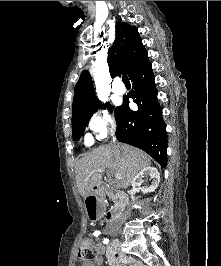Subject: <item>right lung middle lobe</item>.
<instances>
[{"instance_id":"right-lung-middle-lobe-1","label":"right lung middle lobe","mask_w":221,"mask_h":266,"mask_svg":"<svg viewBox=\"0 0 221 266\" xmlns=\"http://www.w3.org/2000/svg\"><path fill=\"white\" fill-rule=\"evenodd\" d=\"M100 104L101 102L98 101V103L95 105V107L91 111L84 113V114L77 115L72 118V134H73L74 140H79L81 138L85 128L88 125V122L91 116L100 107ZM106 107L110 111L113 110V107L109 104L107 106L103 105V108H106ZM117 108L115 109V113H116Z\"/></svg>"}]
</instances>
